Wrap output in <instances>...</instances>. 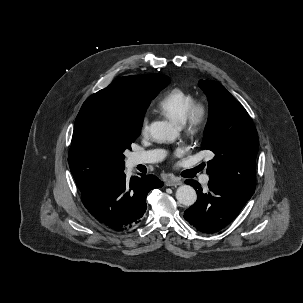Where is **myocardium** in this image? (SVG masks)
Here are the masks:
<instances>
[{
	"instance_id": "1",
	"label": "myocardium",
	"mask_w": 303,
	"mask_h": 303,
	"mask_svg": "<svg viewBox=\"0 0 303 303\" xmlns=\"http://www.w3.org/2000/svg\"><path fill=\"white\" fill-rule=\"evenodd\" d=\"M209 109L205 102L194 100L189 106L182 126L186 134L197 136L202 132L208 119Z\"/></svg>"
}]
</instances>
